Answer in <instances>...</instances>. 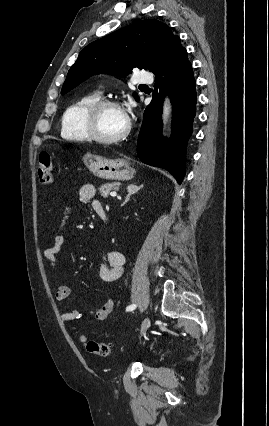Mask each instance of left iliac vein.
I'll list each match as a JSON object with an SVG mask.
<instances>
[{"label": "left iliac vein", "mask_w": 269, "mask_h": 426, "mask_svg": "<svg viewBox=\"0 0 269 426\" xmlns=\"http://www.w3.org/2000/svg\"><path fill=\"white\" fill-rule=\"evenodd\" d=\"M150 327V319L146 317L141 326V337L144 336Z\"/></svg>", "instance_id": "1"}]
</instances>
